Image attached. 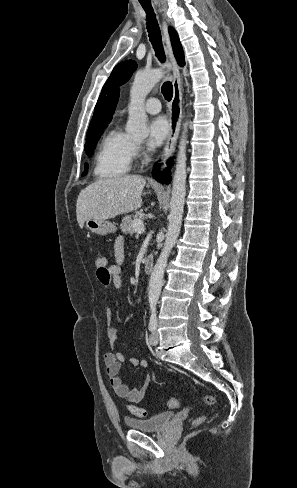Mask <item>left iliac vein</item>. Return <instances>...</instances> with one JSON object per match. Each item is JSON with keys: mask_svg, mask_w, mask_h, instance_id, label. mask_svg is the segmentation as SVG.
I'll return each mask as SVG.
<instances>
[{"mask_svg": "<svg viewBox=\"0 0 297 488\" xmlns=\"http://www.w3.org/2000/svg\"><path fill=\"white\" fill-rule=\"evenodd\" d=\"M159 342V333L157 331H154L151 333L149 337V343L153 346L157 345Z\"/></svg>", "mask_w": 297, "mask_h": 488, "instance_id": "obj_1", "label": "left iliac vein"}]
</instances>
